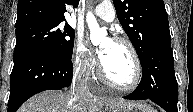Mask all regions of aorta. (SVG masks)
I'll use <instances>...</instances> for the list:
<instances>
[{"mask_svg": "<svg viewBox=\"0 0 193 112\" xmlns=\"http://www.w3.org/2000/svg\"><path fill=\"white\" fill-rule=\"evenodd\" d=\"M90 29V39L93 44L97 45L107 35L105 29L100 28L93 14L88 13L86 17Z\"/></svg>", "mask_w": 193, "mask_h": 112, "instance_id": "1", "label": "aorta"}]
</instances>
